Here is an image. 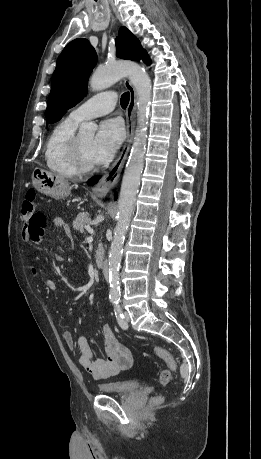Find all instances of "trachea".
Masks as SVG:
<instances>
[{
	"mask_svg": "<svg viewBox=\"0 0 261 459\" xmlns=\"http://www.w3.org/2000/svg\"><path fill=\"white\" fill-rule=\"evenodd\" d=\"M129 103V92H125L121 96L120 104L122 108H126Z\"/></svg>",
	"mask_w": 261,
	"mask_h": 459,
	"instance_id": "1",
	"label": "trachea"
}]
</instances>
